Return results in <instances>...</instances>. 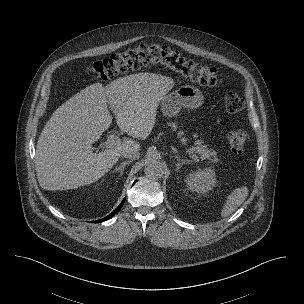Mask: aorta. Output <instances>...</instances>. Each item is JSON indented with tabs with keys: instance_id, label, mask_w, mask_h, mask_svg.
<instances>
[{
	"instance_id": "1",
	"label": "aorta",
	"mask_w": 304,
	"mask_h": 304,
	"mask_svg": "<svg viewBox=\"0 0 304 304\" xmlns=\"http://www.w3.org/2000/svg\"><path fill=\"white\" fill-rule=\"evenodd\" d=\"M145 175L151 179H158L164 174V165L157 159H150L145 165Z\"/></svg>"
}]
</instances>
